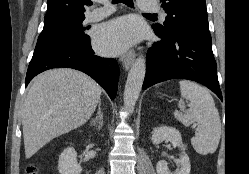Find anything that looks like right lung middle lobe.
Masks as SVG:
<instances>
[{"instance_id":"obj_1","label":"right lung middle lobe","mask_w":249,"mask_h":174,"mask_svg":"<svg viewBox=\"0 0 249 174\" xmlns=\"http://www.w3.org/2000/svg\"><path fill=\"white\" fill-rule=\"evenodd\" d=\"M84 19H71L44 26L35 49L63 43L90 41V37L84 33V30H86V27L83 26Z\"/></svg>"}]
</instances>
